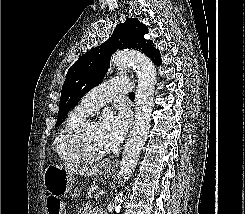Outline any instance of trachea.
Returning <instances> with one entry per match:
<instances>
[{"instance_id": "trachea-1", "label": "trachea", "mask_w": 245, "mask_h": 214, "mask_svg": "<svg viewBox=\"0 0 245 214\" xmlns=\"http://www.w3.org/2000/svg\"><path fill=\"white\" fill-rule=\"evenodd\" d=\"M134 97H135L134 92L129 93V98H134Z\"/></svg>"}]
</instances>
